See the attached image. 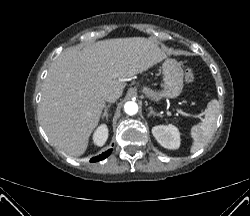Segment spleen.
I'll return each instance as SVG.
<instances>
[{
    "label": "spleen",
    "instance_id": "obj_1",
    "mask_svg": "<svg viewBox=\"0 0 250 216\" xmlns=\"http://www.w3.org/2000/svg\"><path fill=\"white\" fill-rule=\"evenodd\" d=\"M219 111V102L216 99H212L207 104L205 117L202 122L191 128L190 135L193 138L191 153L197 152L209 142L215 132Z\"/></svg>",
    "mask_w": 250,
    "mask_h": 216
}]
</instances>
